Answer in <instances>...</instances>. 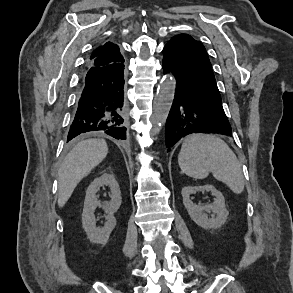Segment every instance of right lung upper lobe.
<instances>
[{
	"instance_id": "cb5924a9",
	"label": "right lung upper lobe",
	"mask_w": 293,
	"mask_h": 293,
	"mask_svg": "<svg viewBox=\"0 0 293 293\" xmlns=\"http://www.w3.org/2000/svg\"><path fill=\"white\" fill-rule=\"evenodd\" d=\"M124 59L118 45L107 42L98 48L90 57L87 70L92 67H102L123 63Z\"/></svg>"
}]
</instances>
